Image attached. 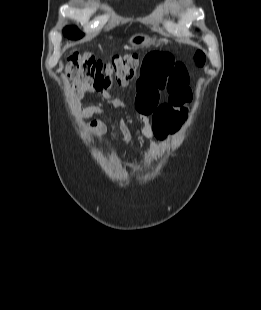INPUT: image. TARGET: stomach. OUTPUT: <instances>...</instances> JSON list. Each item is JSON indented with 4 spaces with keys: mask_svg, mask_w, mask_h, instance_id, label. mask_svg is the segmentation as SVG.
<instances>
[{
    "mask_svg": "<svg viewBox=\"0 0 261 310\" xmlns=\"http://www.w3.org/2000/svg\"><path fill=\"white\" fill-rule=\"evenodd\" d=\"M129 44L133 47V48H138V47H142V46H146V45H150V44H156L159 45L160 43L157 42L155 39H151L146 35L143 34H136L133 35L130 40H129Z\"/></svg>",
    "mask_w": 261,
    "mask_h": 310,
    "instance_id": "stomach-1",
    "label": "stomach"
}]
</instances>
